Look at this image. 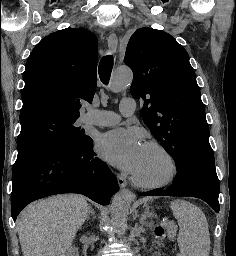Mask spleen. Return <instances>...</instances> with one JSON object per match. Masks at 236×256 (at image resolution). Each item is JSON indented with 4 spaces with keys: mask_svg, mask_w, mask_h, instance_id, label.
I'll return each mask as SVG.
<instances>
[{
    "mask_svg": "<svg viewBox=\"0 0 236 256\" xmlns=\"http://www.w3.org/2000/svg\"><path fill=\"white\" fill-rule=\"evenodd\" d=\"M170 208L179 224L178 256H209L210 234L205 214L185 200H174Z\"/></svg>",
    "mask_w": 236,
    "mask_h": 256,
    "instance_id": "3e777b00",
    "label": "spleen"
}]
</instances>
